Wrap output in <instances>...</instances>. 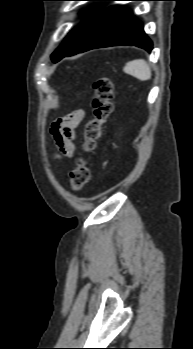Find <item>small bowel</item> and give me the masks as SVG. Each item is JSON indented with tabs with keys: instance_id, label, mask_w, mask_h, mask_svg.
Listing matches in <instances>:
<instances>
[{
	"instance_id": "c3829d8e",
	"label": "small bowel",
	"mask_w": 193,
	"mask_h": 349,
	"mask_svg": "<svg viewBox=\"0 0 193 349\" xmlns=\"http://www.w3.org/2000/svg\"><path fill=\"white\" fill-rule=\"evenodd\" d=\"M85 113L77 109L56 120L51 127V135L57 148V157H73L75 153V130L84 119Z\"/></svg>"
}]
</instances>
